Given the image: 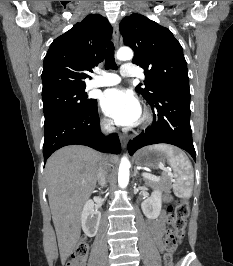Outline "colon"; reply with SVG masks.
<instances>
[{
    "label": "colon",
    "instance_id": "colon-1",
    "mask_svg": "<svg viewBox=\"0 0 233 266\" xmlns=\"http://www.w3.org/2000/svg\"><path fill=\"white\" fill-rule=\"evenodd\" d=\"M189 213V203L186 199H180L168 207L167 223L169 227L164 240L165 266H173L172 256L185 236ZM88 252V242L82 238L76 245L66 266H85Z\"/></svg>",
    "mask_w": 233,
    "mask_h": 266
}]
</instances>
